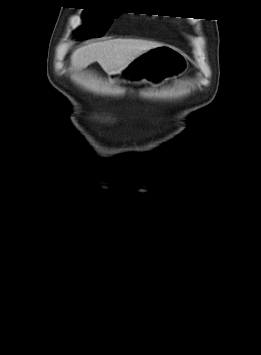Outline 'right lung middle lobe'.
I'll use <instances>...</instances> for the list:
<instances>
[{"label": "right lung middle lobe", "instance_id": "right-lung-middle-lobe-1", "mask_svg": "<svg viewBox=\"0 0 261 355\" xmlns=\"http://www.w3.org/2000/svg\"><path fill=\"white\" fill-rule=\"evenodd\" d=\"M120 14L121 12L87 9L83 14L85 26L78 31L80 39L101 37L112 23L113 18Z\"/></svg>", "mask_w": 261, "mask_h": 355}]
</instances>
